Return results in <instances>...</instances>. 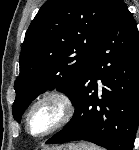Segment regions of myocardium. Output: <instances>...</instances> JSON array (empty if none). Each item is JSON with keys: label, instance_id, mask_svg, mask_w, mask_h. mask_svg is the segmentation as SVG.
I'll return each instance as SVG.
<instances>
[{"label": "myocardium", "instance_id": "f54148a6", "mask_svg": "<svg viewBox=\"0 0 139 150\" xmlns=\"http://www.w3.org/2000/svg\"><path fill=\"white\" fill-rule=\"evenodd\" d=\"M47 101H53L58 104L61 110V115L58 121L47 131H45L42 134L35 135L30 130V119L35 111V109L41 105L42 103H45ZM76 111L75 103L72 99V97L62 91H49L38 97L33 104L30 106L26 118H25V127L27 133L34 137V138H44L47 137L58 130L65 127L74 117Z\"/></svg>", "mask_w": 139, "mask_h": 150}]
</instances>
